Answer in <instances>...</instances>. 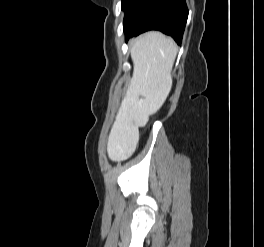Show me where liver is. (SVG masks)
<instances>
[{
    "mask_svg": "<svg viewBox=\"0 0 264 247\" xmlns=\"http://www.w3.org/2000/svg\"><path fill=\"white\" fill-rule=\"evenodd\" d=\"M177 50L171 38L157 31L133 40V77L108 137L107 152L112 161L132 154L139 127L164 104L172 87L171 71Z\"/></svg>",
    "mask_w": 264,
    "mask_h": 247,
    "instance_id": "1",
    "label": "liver"
}]
</instances>
